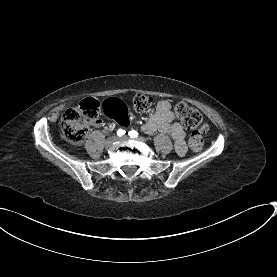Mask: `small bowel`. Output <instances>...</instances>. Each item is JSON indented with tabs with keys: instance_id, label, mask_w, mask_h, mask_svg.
<instances>
[{
	"instance_id": "small-bowel-1",
	"label": "small bowel",
	"mask_w": 277,
	"mask_h": 277,
	"mask_svg": "<svg viewBox=\"0 0 277 277\" xmlns=\"http://www.w3.org/2000/svg\"><path fill=\"white\" fill-rule=\"evenodd\" d=\"M102 121H96V126H101ZM146 134H153L156 131L170 134L175 143L176 152L184 155L186 152L185 132L180 123L175 121V113L171 109L168 100H160L155 105V111L142 126Z\"/></svg>"
}]
</instances>
